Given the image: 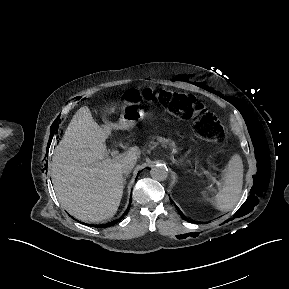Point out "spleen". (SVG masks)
Masks as SVG:
<instances>
[{"instance_id":"obj_1","label":"spleen","mask_w":289,"mask_h":289,"mask_svg":"<svg viewBox=\"0 0 289 289\" xmlns=\"http://www.w3.org/2000/svg\"><path fill=\"white\" fill-rule=\"evenodd\" d=\"M243 186V162L239 155H234L223 170L218 192L211 198V203L221 212L235 207L241 196Z\"/></svg>"}]
</instances>
